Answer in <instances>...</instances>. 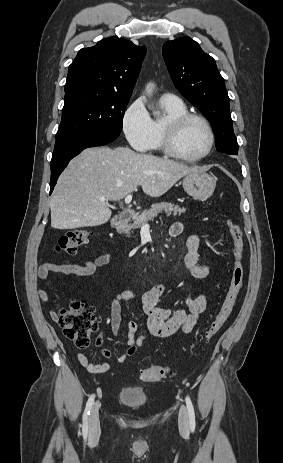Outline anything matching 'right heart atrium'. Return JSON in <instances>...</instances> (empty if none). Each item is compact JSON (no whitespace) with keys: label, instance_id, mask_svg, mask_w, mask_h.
<instances>
[{"label":"right heart atrium","instance_id":"1","mask_svg":"<svg viewBox=\"0 0 283 463\" xmlns=\"http://www.w3.org/2000/svg\"><path fill=\"white\" fill-rule=\"evenodd\" d=\"M122 129L133 149L143 152L150 148L154 129L142 99H136L128 106L122 118Z\"/></svg>","mask_w":283,"mask_h":463}]
</instances>
